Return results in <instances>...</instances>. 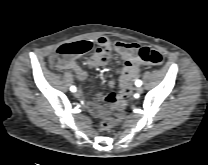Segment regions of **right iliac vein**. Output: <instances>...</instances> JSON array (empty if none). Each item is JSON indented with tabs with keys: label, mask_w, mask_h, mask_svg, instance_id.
Wrapping results in <instances>:
<instances>
[{
	"label": "right iliac vein",
	"mask_w": 208,
	"mask_h": 165,
	"mask_svg": "<svg viewBox=\"0 0 208 165\" xmlns=\"http://www.w3.org/2000/svg\"><path fill=\"white\" fill-rule=\"evenodd\" d=\"M74 95H75L76 98H79V97L81 96V93H80V91H76V92L74 93Z\"/></svg>",
	"instance_id": "63e3f726"
}]
</instances>
